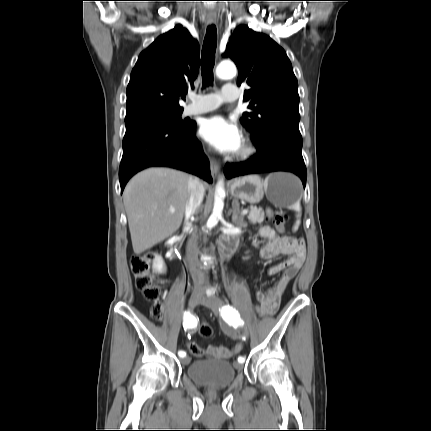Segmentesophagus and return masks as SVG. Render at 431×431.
<instances>
[{
    "label": "esophagus",
    "instance_id": "esophagus-1",
    "mask_svg": "<svg viewBox=\"0 0 431 431\" xmlns=\"http://www.w3.org/2000/svg\"><path fill=\"white\" fill-rule=\"evenodd\" d=\"M216 22H217L216 17L210 16L207 19V23L210 24V25L216 24ZM210 170H211V174H212V176L214 178L218 176V174H219V164L215 160H213V159L210 160Z\"/></svg>",
    "mask_w": 431,
    "mask_h": 431
}]
</instances>
